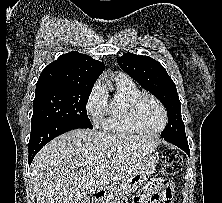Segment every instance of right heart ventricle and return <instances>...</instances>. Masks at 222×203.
I'll use <instances>...</instances> for the list:
<instances>
[{
	"label": "right heart ventricle",
	"mask_w": 222,
	"mask_h": 203,
	"mask_svg": "<svg viewBox=\"0 0 222 203\" xmlns=\"http://www.w3.org/2000/svg\"><path fill=\"white\" fill-rule=\"evenodd\" d=\"M141 94L132 81L115 80V92L108 101L107 113L103 122L104 129L121 135L140 134L131 122L128 112L130 102Z\"/></svg>",
	"instance_id": "right-heart-ventricle-1"
}]
</instances>
